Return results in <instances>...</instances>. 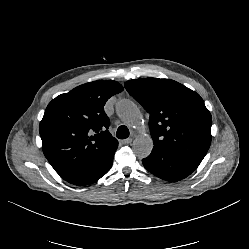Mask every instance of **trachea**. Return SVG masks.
I'll list each match as a JSON object with an SVG mask.
<instances>
[{"instance_id":"obj_1","label":"trachea","mask_w":249,"mask_h":249,"mask_svg":"<svg viewBox=\"0 0 249 249\" xmlns=\"http://www.w3.org/2000/svg\"><path fill=\"white\" fill-rule=\"evenodd\" d=\"M129 134H130V132H129L128 128L126 126L122 125V126H119V128L117 129L116 136L119 139H126V138H128Z\"/></svg>"}]
</instances>
